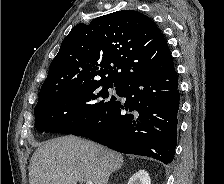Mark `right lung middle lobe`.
I'll return each mask as SVG.
<instances>
[{
  "mask_svg": "<svg viewBox=\"0 0 224 184\" xmlns=\"http://www.w3.org/2000/svg\"><path fill=\"white\" fill-rule=\"evenodd\" d=\"M119 95L122 85L91 82L71 86L37 103L36 129L45 133L71 134L100 117L116 101L110 88Z\"/></svg>",
  "mask_w": 224,
  "mask_h": 184,
  "instance_id": "right-lung-middle-lobe-1",
  "label": "right lung middle lobe"
}]
</instances>
